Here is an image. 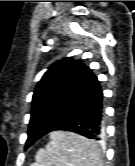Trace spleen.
<instances>
[{"instance_id": "obj_1", "label": "spleen", "mask_w": 135, "mask_h": 166, "mask_svg": "<svg viewBox=\"0 0 135 166\" xmlns=\"http://www.w3.org/2000/svg\"><path fill=\"white\" fill-rule=\"evenodd\" d=\"M45 149H40L31 166H103L97 144L71 132L54 131Z\"/></svg>"}]
</instances>
